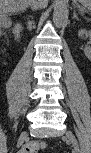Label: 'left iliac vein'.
Returning a JSON list of instances; mask_svg holds the SVG:
<instances>
[{"instance_id":"1","label":"left iliac vein","mask_w":91,"mask_h":153,"mask_svg":"<svg viewBox=\"0 0 91 153\" xmlns=\"http://www.w3.org/2000/svg\"><path fill=\"white\" fill-rule=\"evenodd\" d=\"M65 136L68 139V141L72 144V146L74 147L75 152L82 153L75 135L71 131H67L65 133Z\"/></svg>"}]
</instances>
